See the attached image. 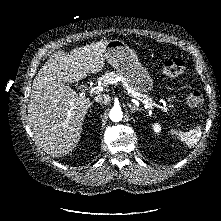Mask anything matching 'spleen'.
I'll list each match as a JSON object with an SVG mask.
<instances>
[{
    "instance_id": "3e777b00",
    "label": "spleen",
    "mask_w": 221,
    "mask_h": 221,
    "mask_svg": "<svg viewBox=\"0 0 221 221\" xmlns=\"http://www.w3.org/2000/svg\"><path fill=\"white\" fill-rule=\"evenodd\" d=\"M201 132L200 128L198 130H192L184 134V141L188 147H193L200 140Z\"/></svg>"
}]
</instances>
